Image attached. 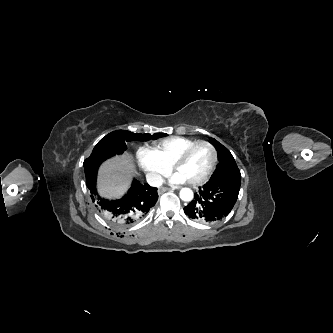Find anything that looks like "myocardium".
<instances>
[{
  "mask_svg": "<svg viewBox=\"0 0 333 333\" xmlns=\"http://www.w3.org/2000/svg\"><path fill=\"white\" fill-rule=\"evenodd\" d=\"M207 146L209 147L212 152H213V160L212 163L208 169V171L199 179L188 182L191 186H199L203 183H205L214 173L217 164H218V159H219V154H218V150L217 148L210 142L205 141V140H199L196 141L195 143H193L192 145L188 146L186 149H184L177 157L176 159L173 161L172 165H171V169L173 171H176V169L182 165L188 158V156L190 155V153L193 151V149H195L198 146Z\"/></svg>",
  "mask_w": 333,
  "mask_h": 333,
  "instance_id": "1",
  "label": "myocardium"
}]
</instances>
